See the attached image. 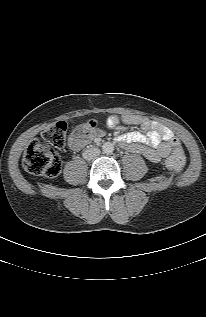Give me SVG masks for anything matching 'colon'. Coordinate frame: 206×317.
<instances>
[{"mask_svg": "<svg viewBox=\"0 0 206 317\" xmlns=\"http://www.w3.org/2000/svg\"><path fill=\"white\" fill-rule=\"evenodd\" d=\"M97 132V123L89 121L78 126L73 136L76 141H87ZM67 124L59 121L43 129L41 139L33 141L24 153V168L38 176L53 178L61 171V159L55 148H62L66 143ZM173 153L166 160V166L174 171H180L185 165V156L177 141L173 142Z\"/></svg>", "mask_w": 206, "mask_h": 317, "instance_id": "colon-1", "label": "colon"}]
</instances>
